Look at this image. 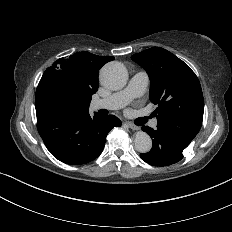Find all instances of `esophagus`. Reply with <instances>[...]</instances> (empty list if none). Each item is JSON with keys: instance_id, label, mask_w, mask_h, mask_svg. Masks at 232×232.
Instances as JSON below:
<instances>
[{"instance_id": "34e87169", "label": "esophagus", "mask_w": 232, "mask_h": 232, "mask_svg": "<svg viewBox=\"0 0 232 232\" xmlns=\"http://www.w3.org/2000/svg\"><path fill=\"white\" fill-rule=\"evenodd\" d=\"M125 124H126L130 129H132V130H138V129H139L138 126L134 125V124L131 123V122H126Z\"/></svg>"}]
</instances>
